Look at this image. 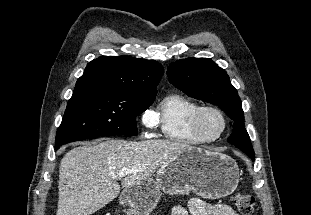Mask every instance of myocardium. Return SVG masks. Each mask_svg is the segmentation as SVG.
<instances>
[{
	"mask_svg": "<svg viewBox=\"0 0 311 215\" xmlns=\"http://www.w3.org/2000/svg\"><path fill=\"white\" fill-rule=\"evenodd\" d=\"M208 111L216 113L222 121V127H221L220 131L214 136L207 134L205 132V130L203 129V126H202V117ZM191 128H192L193 132L198 137L205 140L206 142H212V141H215L218 138H220L222 136V134L225 132V130L227 128V118H226L225 113L220 108H218L216 106H212V105L200 106L194 112V114L191 118Z\"/></svg>",
	"mask_w": 311,
	"mask_h": 215,
	"instance_id": "1",
	"label": "myocardium"
}]
</instances>
